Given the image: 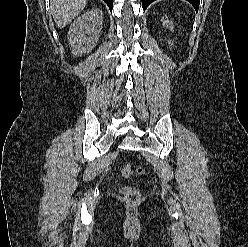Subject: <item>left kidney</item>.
Returning a JSON list of instances; mask_svg holds the SVG:
<instances>
[{"mask_svg":"<svg viewBox=\"0 0 248 247\" xmlns=\"http://www.w3.org/2000/svg\"><path fill=\"white\" fill-rule=\"evenodd\" d=\"M162 23H163V25H165L166 27H169L170 29L173 28V22L169 21V19L167 17H166V19L164 17L162 18ZM171 45H172V43H171Z\"/></svg>","mask_w":248,"mask_h":247,"instance_id":"1","label":"left kidney"}]
</instances>
